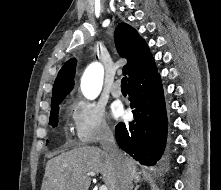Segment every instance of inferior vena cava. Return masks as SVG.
Instances as JSON below:
<instances>
[{
	"instance_id": "obj_1",
	"label": "inferior vena cava",
	"mask_w": 221,
	"mask_h": 190,
	"mask_svg": "<svg viewBox=\"0 0 221 190\" xmlns=\"http://www.w3.org/2000/svg\"><path fill=\"white\" fill-rule=\"evenodd\" d=\"M101 147L114 161L120 170V178L116 190H132V180L123 153L118 149L112 131L106 128L101 138Z\"/></svg>"
}]
</instances>
